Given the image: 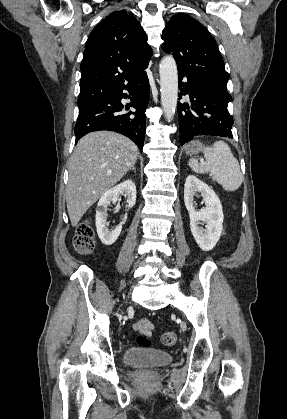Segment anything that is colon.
<instances>
[{
  "label": "colon",
  "instance_id": "5ec220e1",
  "mask_svg": "<svg viewBox=\"0 0 287 419\" xmlns=\"http://www.w3.org/2000/svg\"><path fill=\"white\" fill-rule=\"evenodd\" d=\"M74 247L77 252L87 254L91 252L95 246L94 232L89 223L84 222L79 225L73 240ZM178 341L177 335L174 332H166L161 336V342L165 346H174ZM137 343L141 347L148 348L151 346V341L146 335L137 337Z\"/></svg>",
  "mask_w": 287,
  "mask_h": 419
}]
</instances>
